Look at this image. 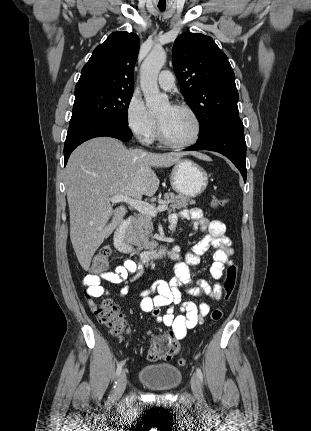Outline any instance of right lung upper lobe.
<instances>
[{
  "instance_id": "right-lung-upper-lobe-1",
  "label": "right lung upper lobe",
  "mask_w": 311,
  "mask_h": 431,
  "mask_svg": "<svg viewBox=\"0 0 311 431\" xmlns=\"http://www.w3.org/2000/svg\"><path fill=\"white\" fill-rule=\"evenodd\" d=\"M140 47L139 37L125 31L114 32L97 46L84 65L75 91L100 88L134 90V66Z\"/></svg>"
}]
</instances>
